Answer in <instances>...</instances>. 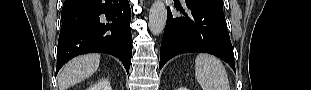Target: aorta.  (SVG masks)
I'll list each match as a JSON object with an SVG mask.
<instances>
[{
  "label": "aorta",
  "mask_w": 311,
  "mask_h": 90,
  "mask_svg": "<svg viewBox=\"0 0 311 90\" xmlns=\"http://www.w3.org/2000/svg\"><path fill=\"white\" fill-rule=\"evenodd\" d=\"M166 7L162 0H155L149 11V29L153 35H160L166 24Z\"/></svg>",
  "instance_id": "1"
}]
</instances>
